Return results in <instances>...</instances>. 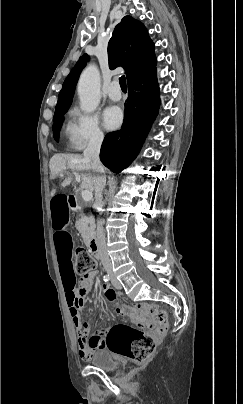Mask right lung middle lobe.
Instances as JSON below:
<instances>
[{
  "label": "right lung middle lobe",
  "instance_id": "1",
  "mask_svg": "<svg viewBox=\"0 0 243 404\" xmlns=\"http://www.w3.org/2000/svg\"><path fill=\"white\" fill-rule=\"evenodd\" d=\"M69 107H65L55 111L54 118H53V136L56 141L59 140V133L62 126L63 115L67 112Z\"/></svg>",
  "mask_w": 243,
  "mask_h": 404
}]
</instances>
